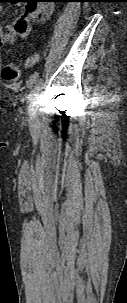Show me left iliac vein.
Wrapping results in <instances>:
<instances>
[{
  "label": "left iliac vein",
  "mask_w": 127,
  "mask_h": 303,
  "mask_svg": "<svg viewBox=\"0 0 127 303\" xmlns=\"http://www.w3.org/2000/svg\"><path fill=\"white\" fill-rule=\"evenodd\" d=\"M28 111H29L30 115L33 114V106L31 104L28 107Z\"/></svg>",
  "instance_id": "4c4485c4"
}]
</instances>
